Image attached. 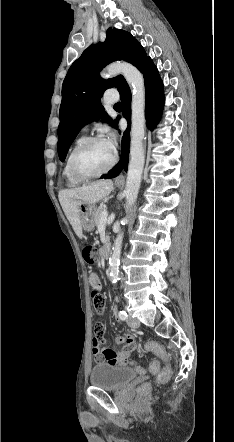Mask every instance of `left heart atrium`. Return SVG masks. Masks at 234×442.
<instances>
[{
  "mask_svg": "<svg viewBox=\"0 0 234 442\" xmlns=\"http://www.w3.org/2000/svg\"><path fill=\"white\" fill-rule=\"evenodd\" d=\"M104 142L106 143L108 148L112 152H114L116 149V145H117V138H116L115 132L112 130H109L107 133V136L104 138Z\"/></svg>",
  "mask_w": 234,
  "mask_h": 442,
  "instance_id": "obj_1",
  "label": "left heart atrium"
}]
</instances>
